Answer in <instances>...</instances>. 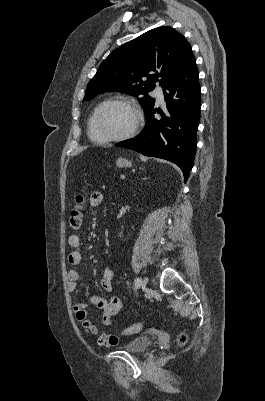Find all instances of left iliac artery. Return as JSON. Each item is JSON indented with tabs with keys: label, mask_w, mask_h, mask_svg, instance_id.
<instances>
[{
	"label": "left iliac artery",
	"mask_w": 265,
	"mask_h": 401,
	"mask_svg": "<svg viewBox=\"0 0 265 401\" xmlns=\"http://www.w3.org/2000/svg\"><path fill=\"white\" fill-rule=\"evenodd\" d=\"M141 282H142V279H141L140 277H137V278L135 279V287H136V288H139L140 285H141Z\"/></svg>",
	"instance_id": "44dca946"
}]
</instances>
